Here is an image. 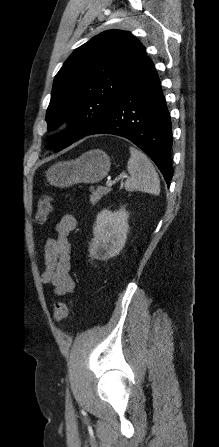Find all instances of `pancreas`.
Wrapping results in <instances>:
<instances>
[{
	"label": "pancreas",
	"instance_id": "obj_1",
	"mask_svg": "<svg viewBox=\"0 0 219 447\" xmlns=\"http://www.w3.org/2000/svg\"><path fill=\"white\" fill-rule=\"evenodd\" d=\"M111 191L108 187L99 186L96 190L92 189L90 195L91 204L95 205L104 195H107Z\"/></svg>",
	"mask_w": 219,
	"mask_h": 447
}]
</instances>
